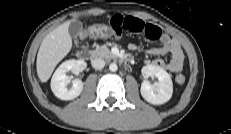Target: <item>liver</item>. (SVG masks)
<instances>
[{
    "label": "liver",
    "mask_w": 231,
    "mask_h": 134,
    "mask_svg": "<svg viewBox=\"0 0 231 134\" xmlns=\"http://www.w3.org/2000/svg\"><path fill=\"white\" fill-rule=\"evenodd\" d=\"M71 22L66 21L43 39L37 54V74L41 82H47L57 64L72 48V38L69 34Z\"/></svg>",
    "instance_id": "obj_1"
}]
</instances>
